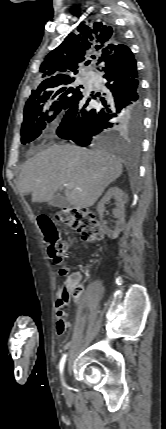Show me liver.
<instances>
[{"instance_id": "liver-1", "label": "liver", "mask_w": 166, "mask_h": 429, "mask_svg": "<svg viewBox=\"0 0 166 429\" xmlns=\"http://www.w3.org/2000/svg\"><path fill=\"white\" fill-rule=\"evenodd\" d=\"M122 170L121 161L107 151L54 144L24 164L18 190L31 193L32 202H46L69 184L65 187L67 201L74 207L88 208Z\"/></svg>"}]
</instances>
